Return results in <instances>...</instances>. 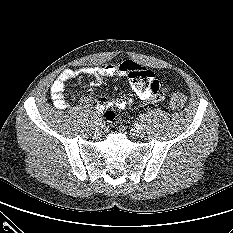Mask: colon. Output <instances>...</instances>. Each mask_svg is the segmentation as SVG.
Returning <instances> with one entry per match:
<instances>
[{"label": "colon", "mask_w": 233, "mask_h": 233, "mask_svg": "<svg viewBox=\"0 0 233 233\" xmlns=\"http://www.w3.org/2000/svg\"><path fill=\"white\" fill-rule=\"evenodd\" d=\"M130 77L133 80H140L146 82L152 77V73L150 70L144 67L134 66L130 71ZM185 101L186 97L179 88L174 87L171 89L169 105L173 110H180L184 106ZM116 109V106L107 109L104 113L105 118L108 120H112L115 117Z\"/></svg>", "instance_id": "colon-1"}]
</instances>
